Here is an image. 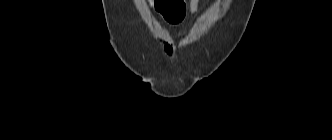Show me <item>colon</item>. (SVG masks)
<instances>
[{
  "label": "colon",
  "mask_w": 332,
  "mask_h": 140,
  "mask_svg": "<svg viewBox=\"0 0 332 140\" xmlns=\"http://www.w3.org/2000/svg\"><path fill=\"white\" fill-rule=\"evenodd\" d=\"M152 4L167 21H177L185 15L184 0H152Z\"/></svg>",
  "instance_id": "obj_1"
}]
</instances>
